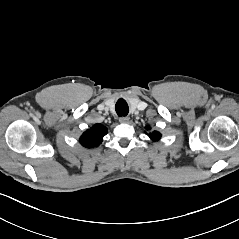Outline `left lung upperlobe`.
Returning <instances> with one entry per match:
<instances>
[{
	"instance_id": "obj_1",
	"label": "left lung upper lobe",
	"mask_w": 239,
	"mask_h": 239,
	"mask_svg": "<svg viewBox=\"0 0 239 239\" xmlns=\"http://www.w3.org/2000/svg\"><path fill=\"white\" fill-rule=\"evenodd\" d=\"M146 129L148 130L149 127H146ZM149 137L154 140V141H157L161 138V134L157 131H153L152 133L149 134Z\"/></svg>"
}]
</instances>
